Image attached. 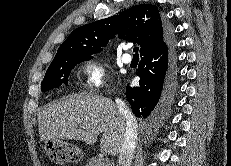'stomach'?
<instances>
[{
	"label": "stomach",
	"instance_id": "stomach-1",
	"mask_svg": "<svg viewBox=\"0 0 231 166\" xmlns=\"http://www.w3.org/2000/svg\"><path fill=\"white\" fill-rule=\"evenodd\" d=\"M45 149L56 164L77 163L83 158V152L78 146L61 139L46 141Z\"/></svg>",
	"mask_w": 231,
	"mask_h": 166
}]
</instances>
